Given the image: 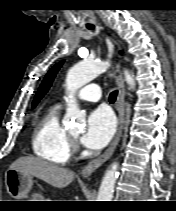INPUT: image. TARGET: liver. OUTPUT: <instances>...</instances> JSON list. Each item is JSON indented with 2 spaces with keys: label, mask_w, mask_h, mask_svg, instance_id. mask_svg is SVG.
Wrapping results in <instances>:
<instances>
[{
  "label": "liver",
  "mask_w": 176,
  "mask_h": 211,
  "mask_svg": "<svg viewBox=\"0 0 176 211\" xmlns=\"http://www.w3.org/2000/svg\"><path fill=\"white\" fill-rule=\"evenodd\" d=\"M9 169L35 176L56 188L68 186L75 177L72 170L32 156L18 158Z\"/></svg>",
  "instance_id": "1"
}]
</instances>
